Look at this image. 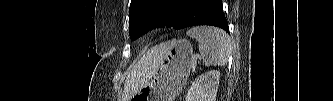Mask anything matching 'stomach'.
<instances>
[{
  "label": "stomach",
  "instance_id": "stomach-1",
  "mask_svg": "<svg viewBox=\"0 0 333 101\" xmlns=\"http://www.w3.org/2000/svg\"><path fill=\"white\" fill-rule=\"evenodd\" d=\"M162 61L151 80L130 101H174L189 76L193 47L186 39L166 43Z\"/></svg>",
  "mask_w": 333,
  "mask_h": 101
}]
</instances>
